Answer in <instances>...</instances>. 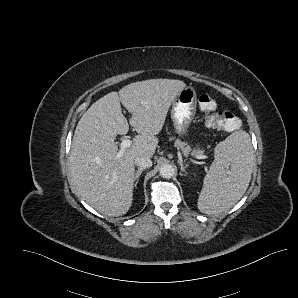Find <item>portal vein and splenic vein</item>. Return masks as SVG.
Returning a JSON list of instances; mask_svg holds the SVG:
<instances>
[{
	"label": "portal vein and splenic vein",
	"mask_w": 298,
	"mask_h": 298,
	"mask_svg": "<svg viewBox=\"0 0 298 298\" xmlns=\"http://www.w3.org/2000/svg\"><path fill=\"white\" fill-rule=\"evenodd\" d=\"M132 146V139H125L122 141L121 143V147L116 155V160H120L123 153H124V150L131 147ZM192 157L195 158V159H203L204 156L202 154H195V153H192Z\"/></svg>",
	"instance_id": "portal-vein-and-splenic-vein-1"
}]
</instances>
